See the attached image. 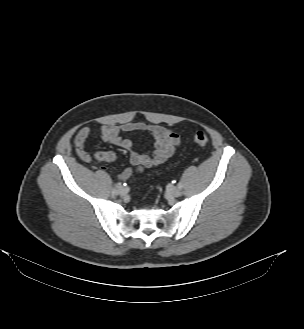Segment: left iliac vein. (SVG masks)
Wrapping results in <instances>:
<instances>
[{
  "mask_svg": "<svg viewBox=\"0 0 304 329\" xmlns=\"http://www.w3.org/2000/svg\"><path fill=\"white\" fill-rule=\"evenodd\" d=\"M169 193L173 197H179L181 195V190L178 187H172L169 190Z\"/></svg>",
  "mask_w": 304,
  "mask_h": 329,
  "instance_id": "4c4485c4",
  "label": "left iliac vein"
}]
</instances>
